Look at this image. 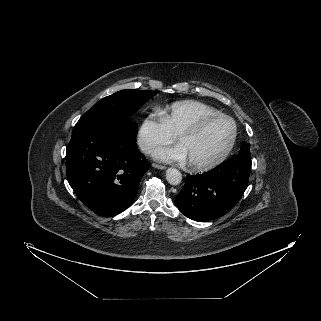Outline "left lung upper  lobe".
Masks as SVG:
<instances>
[{"instance_id":"5c2ea615","label":"left lung upper lobe","mask_w":321,"mask_h":321,"mask_svg":"<svg viewBox=\"0 0 321 321\" xmlns=\"http://www.w3.org/2000/svg\"><path fill=\"white\" fill-rule=\"evenodd\" d=\"M241 155H245L247 157H251L250 153V144H244L239 152Z\"/></svg>"}]
</instances>
